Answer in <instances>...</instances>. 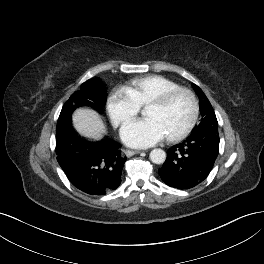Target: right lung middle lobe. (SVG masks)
<instances>
[{"instance_id":"right-lung-middle-lobe-1","label":"right lung middle lobe","mask_w":264,"mask_h":264,"mask_svg":"<svg viewBox=\"0 0 264 264\" xmlns=\"http://www.w3.org/2000/svg\"><path fill=\"white\" fill-rule=\"evenodd\" d=\"M106 90L99 79L87 80L79 91L71 95L63 106L56 127V137L71 127L72 112L79 106H91L100 113L106 104Z\"/></svg>"}]
</instances>
